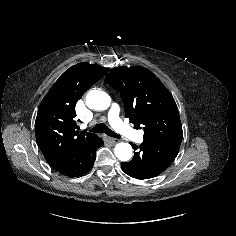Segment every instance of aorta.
<instances>
[{"mask_svg":"<svg viewBox=\"0 0 236 236\" xmlns=\"http://www.w3.org/2000/svg\"><path fill=\"white\" fill-rule=\"evenodd\" d=\"M110 96L101 90H91L86 95V104L90 109L102 110L110 105ZM114 152L116 157L121 161H128L132 157V147L128 143H118Z\"/></svg>","mask_w":236,"mask_h":236,"instance_id":"1","label":"aorta"}]
</instances>
